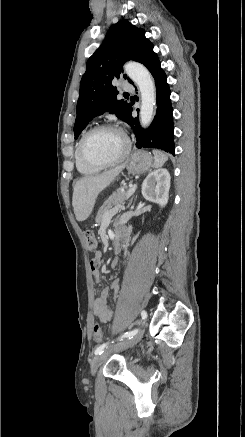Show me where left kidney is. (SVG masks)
Listing matches in <instances>:
<instances>
[{
	"label": "left kidney",
	"instance_id": "left-kidney-1",
	"mask_svg": "<svg viewBox=\"0 0 245 437\" xmlns=\"http://www.w3.org/2000/svg\"><path fill=\"white\" fill-rule=\"evenodd\" d=\"M170 180L167 169L161 168L149 173L142 184L143 197L162 208L165 207L168 203Z\"/></svg>",
	"mask_w": 245,
	"mask_h": 437
}]
</instances>
